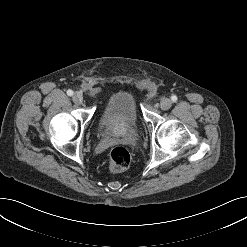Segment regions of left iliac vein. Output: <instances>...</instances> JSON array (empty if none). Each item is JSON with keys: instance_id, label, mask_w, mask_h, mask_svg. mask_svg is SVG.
Masks as SVG:
<instances>
[{"instance_id": "4c4485c4", "label": "left iliac vein", "mask_w": 247, "mask_h": 247, "mask_svg": "<svg viewBox=\"0 0 247 247\" xmlns=\"http://www.w3.org/2000/svg\"><path fill=\"white\" fill-rule=\"evenodd\" d=\"M172 106V101L168 98H163L160 102V108L162 110H168Z\"/></svg>"}]
</instances>
